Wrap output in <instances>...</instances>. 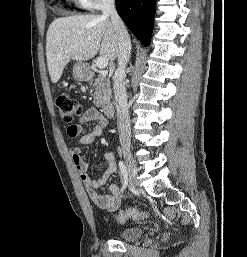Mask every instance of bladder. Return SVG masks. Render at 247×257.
Wrapping results in <instances>:
<instances>
[{"label": "bladder", "instance_id": "bladder-1", "mask_svg": "<svg viewBox=\"0 0 247 257\" xmlns=\"http://www.w3.org/2000/svg\"><path fill=\"white\" fill-rule=\"evenodd\" d=\"M144 233V229L138 226L122 228L116 232V237L123 241H135Z\"/></svg>", "mask_w": 247, "mask_h": 257}]
</instances>
